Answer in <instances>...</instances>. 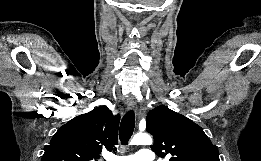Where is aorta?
<instances>
[{
    "mask_svg": "<svg viewBox=\"0 0 261 161\" xmlns=\"http://www.w3.org/2000/svg\"><path fill=\"white\" fill-rule=\"evenodd\" d=\"M131 144L132 145H151L152 138L150 137V135H148L146 133H137L133 137Z\"/></svg>",
    "mask_w": 261,
    "mask_h": 161,
    "instance_id": "762f6f07",
    "label": "aorta"
}]
</instances>
